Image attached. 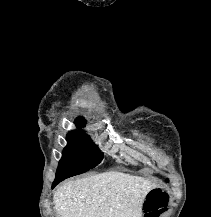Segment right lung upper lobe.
<instances>
[{
	"label": "right lung upper lobe",
	"mask_w": 211,
	"mask_h": 217,
	"mask_svg": "<svg viewBox=\"0 0 211 217\" xmlns=\"http://www.w3.org/2000/svg\"><path fill=\"white\" fill-rule=\"evenodd\" d=\"M84 119L83 118H78L76 119V125L78 126H84Z\"/></svg>",
	"instance_id": "1"
}]
</instances>
